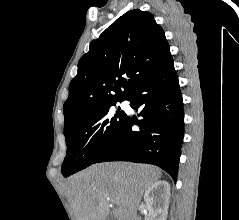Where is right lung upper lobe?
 Here are the masks:
<instances>
[{
	"label": "right lung upper lobe",
	"instance_id": "1",
	"mask_svg": "<svg viewBox=\"0 0 239 220\" xmlns=\"http://www.w3.org/2000/svg\"><path fill=\"white\" fill-rule=\"evenodd\" d=\"M172 60L164 31L151 13L120 16L81 57L64 103V130L87 113L124 101L149 76Z\"/></svg>",
	"mask_w": 239,
	"mask_h": 220
}]
</instances>
